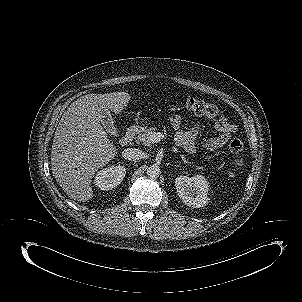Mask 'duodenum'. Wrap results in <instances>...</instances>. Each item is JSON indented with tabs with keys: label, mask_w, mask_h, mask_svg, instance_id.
I'll return each instance as SVG.
<instances>
[{
	"label": "duodenum",
	"mask_w": 302,
	"mask_h": 302,
	"mask_svg": "<svg viewBox=\"0 0 302 302\" xmlns=\"http://www.w3.org/2000/svg\"><path fill=\"white\" fill-rule=\"evenodd\" d=\"M139 130H140V128L137 125H133V126L129 127L126 134L122 138L121 143L123 145H127V144L131 143L132 140L137 135V133L139 132Z\"/></svg>",
	"instance_id": "obj_1"
}]
</instances>
